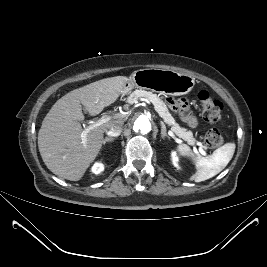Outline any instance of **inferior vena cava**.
I'll return each mask as SVG.
<instances>
[{"mask_svg":"<svg viewBox=\"0 0 267 267\" xmlns=\"http://www.w3.org/2000/svg\"><path fill=\"white\" fill-rule=\"evenodd\" d=\"M122 132V126L121 125H113L111 126L107 131V135L110 137H117Z\"/></svg>","mask_w":267,"mask_h":267,"instance_id":"1","label":"inferior vena cava"}]
</instances>
